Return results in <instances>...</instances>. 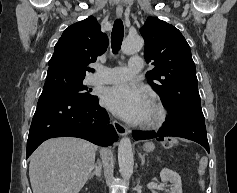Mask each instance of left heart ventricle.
I'll return each mask as SVG.
<instances>
[{
  "instance_id": "left-heart-ventricle-1",
  "label": "left heart ventricle",
  "mask_w": 237,
  "mask_h": 193,
  "mask_svg": "<svg viewBox=\"0 0 237 193\" xmlns=\"http://www.w3.org/2000/svg\"><path fill=\"white\" fill-rule=\"evenodd\" d=\"M153 115H154V108H153V106L151 105V103H149V105H148V107H147V110H146V112H145L143 121L152 118Z\"/></svg>"
}]
</instances>
